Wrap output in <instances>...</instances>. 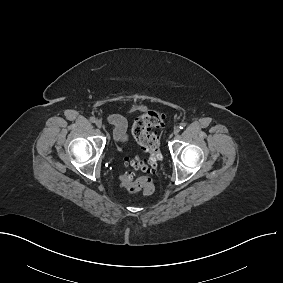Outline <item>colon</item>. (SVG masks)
<instances>
[{
    "instance_id": "colon-1",
    "label": "colon",
    "mask_w": 283,
    "mask_h": 283,
    "mask_svg": "<svg viewBox=\"0 0 283 283\" xmlns=\"http://www.w3.org/2000/svg\"><path fill=\"white\" fill-rule=\"evenodd\" d=\"M161 126H163V115L156 110H148L134 120L132 127L133 136L148 157L146 159H127L129 166L147 174L155 171L161 158V153L159 137L153 129ZM122 185L129 193L142 192L148 195L154 189L152 179L147 176L135 178L131 174H126L122 177Z\"/></svg>"
}]
</instances>
